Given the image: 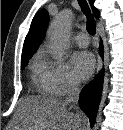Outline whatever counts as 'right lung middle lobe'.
Listing matches in <instances>:
<instances>
[{"instance_id": "1", "label": "right lung middle lobe", "mask_w": 123, "mask_h": 130, "mask_svg": "<svg viewBox=\"0 0 123 130\" xmlns=\"http://www.w3.org/2000/svg\"><path fill=\"white\" fill-rule=\"evenodd\" d=\"M31 57H32V54L31 55L22 56V58H21V66H22V68H24L27 65V63H28V61H29V59Z\"/></svg>"}]
</instances>
